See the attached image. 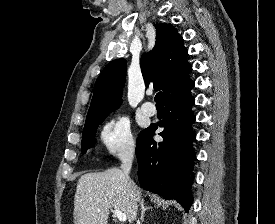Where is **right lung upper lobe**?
I'll return each mask as SVG.
<instances>
[{
	"mask_svg": "<svg viewBox=\"0 0 275 224\" xmlns=\"http://www.w3.org/2000/svg\"><path fill=\"white\" fill-rule=\"evenodd\" d=\"M187 55L188 51L183 46V39L177 29L171 24L157 25L155 46L141 59L146 86L162 89L166 97L187 83L192 70ZM126 67L125 59H117L103 69L95 83L85 126L106 117L120 105Z\"/></svg>",
	"mask_w": 275,
	"mask_h": 224,
	"instance_id": "cb5924a9",
	"label": "right lung upper lobe"
}]
</instances>
